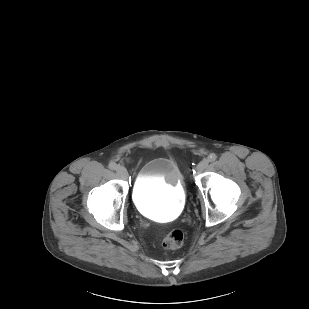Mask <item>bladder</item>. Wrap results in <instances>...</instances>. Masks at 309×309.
Returning <instances> with one entry per match:
<instances>
[{
	"mask_svg": "<svg viewBox=\"0 0 309 309\" xmlns=\"http://www.w3.org/2000/svg\"><path fill=\"white\" fill-rule=\"evenodd\" d=\"M183 198V176L173 159L157 157L143 164L133 188V201L140 212L169 220L178 214Z\"/></svg>",
	"mask_w": 309,
	"mask_h": 309,
	"instance_id": "obj_1",
	"label": "bladder"
}]
</instances>
